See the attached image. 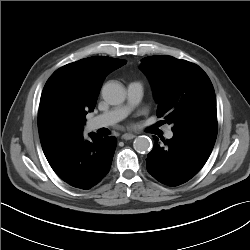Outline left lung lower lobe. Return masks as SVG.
I'll return each instance as SVG.
<instances>
[{"mask_svg": "<svg viewBox=\"0 0 250 250\" xmlns=\"http://www.w3.org/2000/svg\"><path fill=\"white\" fill-rule=\"evenodd\" d=\"M217 130L173 132L171 139L155 137L153 150L147 155L148 172L159 182L178 186L190 180L204 166L214 147Z\"/></svg>", "mask_w": 250, "mask_h": 250, "instance_id": "obj_1", "label": "left lung lower lobe"}]
</instances>
